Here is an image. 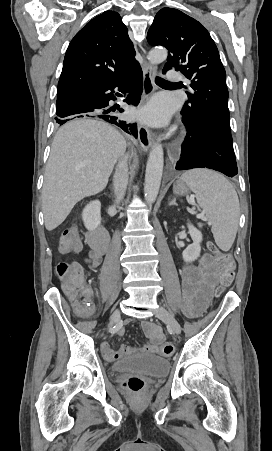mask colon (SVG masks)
<instances>
[{
	"label": "colon",
	"mask_w": 272,
	"mask_h": 451,
	"mask_svg": "<svg viewBox=\"0 0 272 451\" xmlns=\"http://www.w3.org/2000/svg\"><path fill=\"white\" fill-rule=\"evenodd\" d=\"M60 246L61 249H65V256H79V231L73 230V227L67 228L61 237ZM209 250L213 252L220 266L218 271L213 272V277L216 279L213 287L215 292L219 294L234 279L235 261L229 252L217 249L214 244L209 245ZM77 264L76 259L71 262H60L56 266V273L61 289H69L68 295L71 303L75 308L81 310L90 305L92 294L89 288H83V274L80 267L76 266ZM74 266L76 267L74 268ZM172 352L173 347L171 345L161 346L162 354H171ZM123 385L133 392H138L145 386V382L142 378L134 376L125 380Z\"/></svg>",
	"instance_id": "5ec220e1"
}]
</instances>
